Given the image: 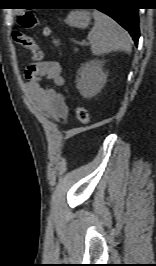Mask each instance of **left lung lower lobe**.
Masks as SVG:
<instances>
[{
  "mask_svg": "<svg viewBox=\"0 0 156 266\" xmlns=\"http://www.w3.org/2000/svg\"><path fill=\"white\" fill-rule=\"evenodd\" d=\"M92 6H103L97 8L101 12L109 15L117 21L123 28H125L132 36L135 44H138L139 39V16L138 10L131 7L124 1L120 5H115L114 0H90ZM83 3V2H82ZM110 6V7H104Z\"/></svg>",
  "mask_w": 156,
  "mask_h": 266,
  "instance_id": "1",
  "label": "left lung lower lobe"
}]
</instances>
